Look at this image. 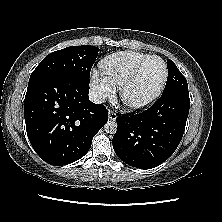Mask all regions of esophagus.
<instances>
[{
  "label": "esophagus",
  "instance_id": "34e87169",
  "mask_svg": "<svg viewBox=\"0 0 222 222\" xmlns=\"http://www.w3.org/2000/svg\"><path fill=\"white\" fill-rule=\"evenodd\" d=\"M108 117L110 120L114 121L117 118V114L114 111H109Z\"/></svg>",
  "mask_w": 222,
  "mask_h": 222
}]
</instances>
